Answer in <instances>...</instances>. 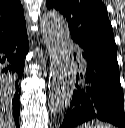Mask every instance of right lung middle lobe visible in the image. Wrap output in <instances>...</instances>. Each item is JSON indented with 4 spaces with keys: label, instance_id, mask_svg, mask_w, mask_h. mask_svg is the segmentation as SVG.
Here are the masks:
<instances>
[{
    "label": "right lung middle lobe",
    "instance_id": "1",
    "mask_svg": "<svg viewBox=\"0 0 125 128\" xmlns=\"http://www.w3.org/2000/svg\"><path fill=\"white\" fill-rule=\"evenodd\" d=\"M0 77L2 79H4L6 82H11L13 80L12 77H9L8 75H5V74H3L1 72H0Z\"/></svg>",
    "mask_w": 125,
    "mask_h": 128
}]
</instances>
